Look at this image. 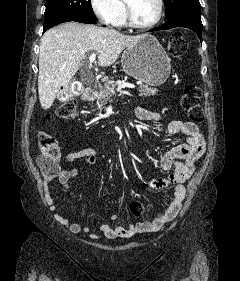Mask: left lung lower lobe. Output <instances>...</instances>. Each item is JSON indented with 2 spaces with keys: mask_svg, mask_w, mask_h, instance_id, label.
Masks as SVG:
<instances>
[{
  "mask_svg": "<svg viewBox=\"0 0 240 281\" xmlns=\"http://www.w3.org/2000/svg\"><path fill=\"white\" fill-rule=\"evenodd\" d=\"M174 27L189 28L192 31H194L202 41L203 25L201 22L200 14L194 12H186V13L179 14L173 17L172 19H169V21L166 22L164 25L158 28H153L150 31L166 30Z\"/></svg>",
  "mask_w": 240,
  "mask_h": 281,
  "instance_id": "1",
  "label": "left lung lower lobe"
}]
</instances>
